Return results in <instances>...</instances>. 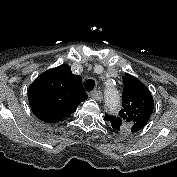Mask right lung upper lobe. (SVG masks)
Here are the masks:
<instances>
[{
    "instance_id": "right-lung-upper-lobe-1",
    "label": "right lung upper lobe",
    "mask_w": 177,
    "mask_h": 177,
    "mask_svg": "<svg viewBox=\"0 0 177 177\" xmlns=\"http://www.w3.org/2000/svg\"><path fill=\"white\" fill-rule=\"evenodd\" d=\"M88 98L82 79L63 64L38 76L28 91L34 115L45 123H55L70 116Z\"/></svg>"
}]
</instances>
